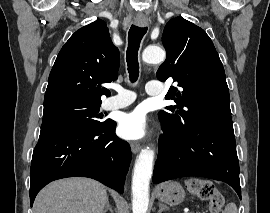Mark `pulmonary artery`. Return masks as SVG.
<instances>
[{
	"mask_svg": "<svg viewBox=\"0 0 270 213\" xmlns=\"http://www.w3.org/2000/svg\"><path fill=\"white\" fill-rule=\"evenodd\" d=\"M117 94L106 100L104 103V109L115 110L124 108L130 105L136 99L135 94L132 91L124 89L122 87L116 88ZM162 91V83L159 81H149L146 85V92L148 95L156 96Z\"/></svg>",
	"mask_w": 270,
	"mask_h": 213,
	"instance_id": "pulmonary-artery-1",
	"label": "pulmonary artery"
}]
</instances>
